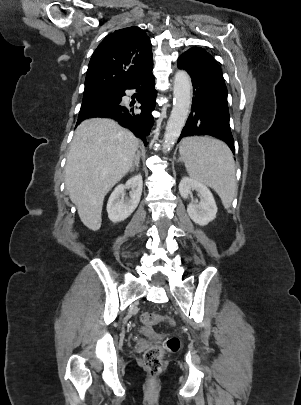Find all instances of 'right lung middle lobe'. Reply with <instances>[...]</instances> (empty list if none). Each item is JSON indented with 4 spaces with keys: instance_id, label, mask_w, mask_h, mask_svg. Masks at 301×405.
<instances>
[{
    "instance_id": "right-lung-middle-lobe-1",
    "label": "right lung middle lobe",
    "mask_w": 301,
    "mask_h": 405,
    "mask_svg": "<svg viewBox=\"0 0 301 405\" xmlns=\"http://www.w3.org/2000/svg\"><path fill=\"white\" fill-rule=\"evenodd\" d=\"M120 97L121 91L114 89L98 88L84 90L80 111H85L98 106L116 102L120 99Z\"/></svg>"
}]
</instances>
